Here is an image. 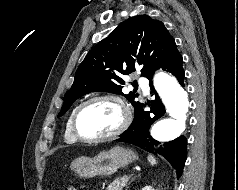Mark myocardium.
I'll list each match as a JSON object with an SVG mask.
<instances>
[{"label":"myocardium","instance_id":"1","mask_svg":"<svg viewBox=\"0 0 238 190\" xmlns=\"http://www.w3.org/2000/svg\"><path fill=\"white\" fill-rule=\"evenodd\" d=\"M97 101H111V102L115 103L121 111L122 120H121L120 125L114 131H112L111 133H109L107 135L97 136V137H87V136L82 135L78 129V118H79L81 111L86 106H88L91 103L97 102ZM131 121H132L131 109H130L129 105L127 104V102L121 96L116 95V94H101V95H96V96H93V97L85 100L75 109V111L72 115L71 127H72L74 136L78 140H80L82 142H87V143H97V142H104V141L112 140V139L118 137L129 127Z\"/></svg>","mask_w":238,"mask_h":190}]
</instances>
